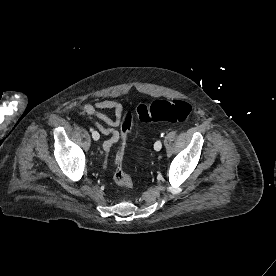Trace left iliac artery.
Returning <instances> with one entry per match:
<instances>
[{"label": "left iliac artery", "instance_id": "44dca946", "mask_svg": "<svg viewBox=\"0 0 276 276\" xmlns=\"http://www.w3.org/2000/svg\"><path fill=\"white\" fill-rule=\"evenodd\" d=\"M163 136H164V134L162 133V134H161V137H163Z\"/></svg>", "mask_w": 276, "mask_h": 276}]
</instances>
